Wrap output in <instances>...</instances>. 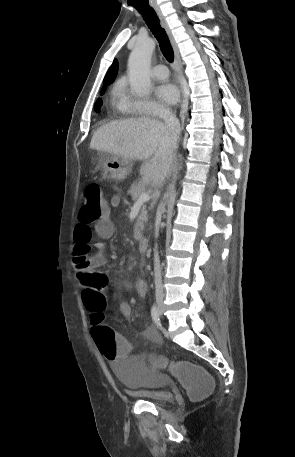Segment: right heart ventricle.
Listing matches in <instances>:
<instances>
[{
	"label": "right heart ventricle",
	"instance_id": "e07e8e85",
	"mask_svg": "<svg viewBox=\"0 0 295 457\" xmlns=\"http://www.w3.org/2000/svg\"><path fill=\"white\" fill-rule=\"evenodd\" d=\"M111 104L115 111L122 116H130L135 113L131 106V98L127 95L122 82H118L113 86Z\"/></svg>",
	"mask_w": 295,
	"mask_h": 457
}]
</instances>
